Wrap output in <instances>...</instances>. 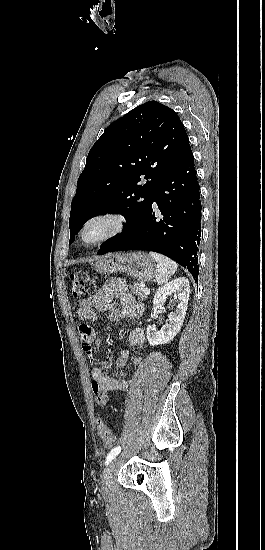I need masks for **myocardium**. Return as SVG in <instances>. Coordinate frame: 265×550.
Returning <instances> with one entry per match:
<instances>
[{"label": "myocardium", "instance_id": "obj_1", "mask_svg": "<svg viewBox=\"0 0 265 550\" xmlns=\"http://www.w3.org/2000/svg\"><path fill=\"white\" fill-rule=\"evenodd\" d=\"M98 225L104 228L103 232L94 239H87V233ZM125 227L126 218L123 215L113 211L101 212L84 221L78 230V241L83 247H95L114 239L124 231Z\"/></svg>", "mask_w": 265, "mask_h": 550}]
</instances>
